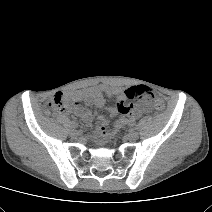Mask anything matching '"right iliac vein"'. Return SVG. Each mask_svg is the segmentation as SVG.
Here are the masks:
<instances>
[{
  "mask_svg": "<svg viewBox=\"0 0 212 212\" xmlns=\"http://www.w3.org/2000/svg\"><path fill=\"white\" fill-rule=\"evenodd\" d=\"M70 135H71V136H77V135H78L77 130H75V129H71V131H70Z\"/></svg>",
  "mask_w": 212,
  "mask_h": 212,
  "instance_id": "obj_1",
  "label": "right iliac vein"
}]
</instances>
